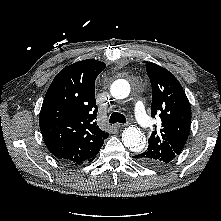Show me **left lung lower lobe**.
<instances>
[{
    "label": "left lung lower lobe",
    "instance_id": "obj_1",
    "mask_svg": "<svg viewBox=\"0 0 221 221\" xmlns=\"http://www.w3.org/2000/svg\"><path fill=\"white\" fill-rule=\"evenodd\" d=\"M133 158H135L138 162L143 163L142 159L138 155L134 156Z\"/></svg>",
    "mask_w": 221,
    "mask_h": 221
}]
</instances>
